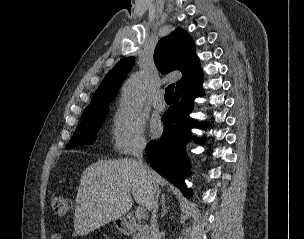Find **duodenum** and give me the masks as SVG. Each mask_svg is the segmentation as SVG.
<instances>
[{
	"label": "duodenum",
	"instance_id": "1",
	"mask_svg": "<svg viewBox=\"0 0 304 239\" xmlns=\"http://www.w3.org/2000/svg\"><path fill=\"white\" fill-rule=\"evenodd\" d=\"M117 224L119 230L125 235H134L138 239H151L148 225L136 224L126 219L119 220Z\"/></svg>",
	"mask_w": 304,
	"mask_h": 239
}]
</instances>
